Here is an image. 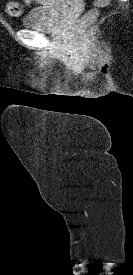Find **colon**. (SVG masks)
<instances>
[{
    "instance_id": "5ec220e1",
    "label": "colon",
    "mask_w": 133,
    "mask_h": 275,
    "mask_svg": "<svg viewBox=\"0 0 133 275\" xmlns=\"http://www.w3.org/2000/svg\"><path fill=\"white\" fill-rule=\"evenodd\" d=\"M94 8L89 11V15L96 16L99 13V10L103 7L104 2L101 0H96ZM6 11L10 16L17 17L21 15L22 8L21 5L17 2H9L6 7Z\"/></svg>"
}]
</instances>
